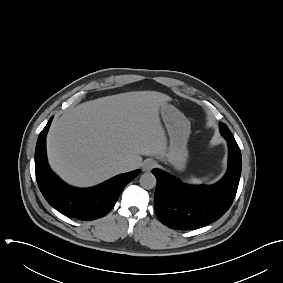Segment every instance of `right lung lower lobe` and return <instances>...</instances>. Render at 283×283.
<instances>
[{"instance_id":"obj_1","label":"right lung lower lobe","mask_w":283,"mask_h":283,"mask_svg":"<svg viewBox=\"0 0 283 283\" xmlns=\"http://www.w3.org/2000/svg\"><path fill=\"white\" fill-rule=\"evenodd\" d=\"M52 118L40 133L35 150V172L40 191L52 207L70 218L95 220L103 217L140 170L120 174L92 188L78 189L67 185L51 171L47 162L46 135Z\"/></svg>"}]
</instances>
